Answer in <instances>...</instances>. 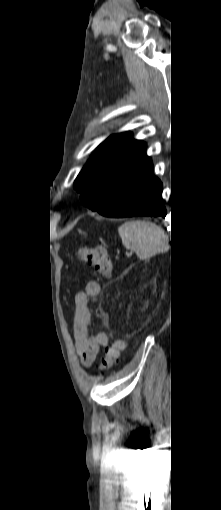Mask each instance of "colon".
I'll use <instances>...</instances> for the list:
<instances>
[{"instance_id": "5ec220e1", "label": "colon", "mask_w": 221, "mask_h": 510, "mask_svg": "<svg viewBox=\"0 0 221 510\" xmlns=\"http://www.w3.org/2000/svg\"><path fill=\"white\" fill-rule=\"evenodd\" d=\"M82 261L89 264L97 273L109 275L112 270V261L107 250L103 247H83L79 252ZM126 347L124 337L116 338L106 349L105 355L100 361V370H106L116 363L121 352Z\"/></svg>"}]
</instances>
